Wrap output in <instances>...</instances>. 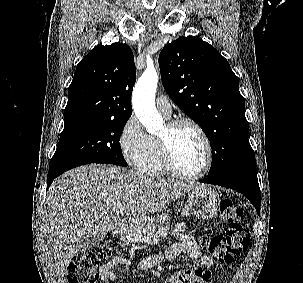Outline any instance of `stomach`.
Listing matches in <instances>:
<instances>
[{
    "label": "stomach",
    "instance_id": "0dacf381",
    "mask_svg": "<svg viewBox=\"0 0 303 283\" xmlns=\"http://www.w3.org/2000/svg\"><path fill=\"white\" fill-rule=\"evenodd\" d=\"M221 199L219 195L208 187H197L190 190L187 194V200L181 206L179 212L183 217L195 215L200 219H211L217 213ZM170 216L163 213L157 217L141 221V224H154L156 222L169 223Z\"/></svg>",
    "mask_w": 303,
    "mask_h": 283
}]
</instances>
